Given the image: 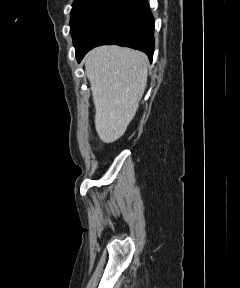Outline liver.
<instances>
[{
	"label": "liver",
	"instance_id": "1",
	"mask_svg": "<svg viewBox=\"0 0 240 288\" xmlns=\"http://www.w3.org/2000/svg\"><path fill=\"white\" fill-rule=\"evenodd\" d=\"M84 63L97 134L104 143H112L136 114L147 85L148 58L143 52L111 45L91 50Z\"/></svg>",
	"mask_w": 240,
	"mask_h": 288
}]
</instances>
